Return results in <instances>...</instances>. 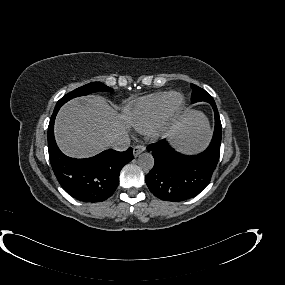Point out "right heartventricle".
I'll return each instance as SVG.
<instances>
[{
    "label": "right heart ventricle",
    "instance_id": "1",
    "mask_svg": "<svg viewBox=\"0 0 285 285\" xmlns=\"http://www.w3.org/2000/svg\"><path fill=\"white\" fill-rule=\"evenodd\" d=\"M172 92H159L129 101L124 106V113L134 125L143 130L163 115Z\"/></svg>",
    "mask_w": 285,
    "mask_h": 285
}]
</instances>
